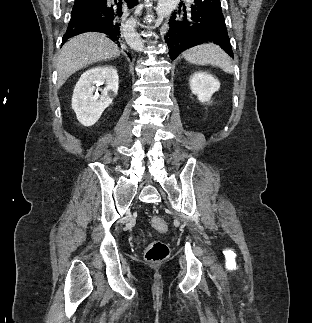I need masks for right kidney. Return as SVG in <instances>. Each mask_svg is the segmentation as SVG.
Instances as JSON below:
<instances>
[{
  "label": "right kidney",
  "mask_w": 312,
  "mask_h": 323,
  "mask_svg": "<svg viewBox=\"0 0 312 323\" xmlns=\"http://www.w3.org/2000/svg\"><path fill=\"white\" fill-rule=\"evenodd\" d=\"M104 86V88H99ZM119 76L114 66H95L82 74L72 96V110L82 126H93L117 96ZM101 92V94H98Z\"/></svg>",
  "instance_id": "right-kidney-1"
}]
</instances>
